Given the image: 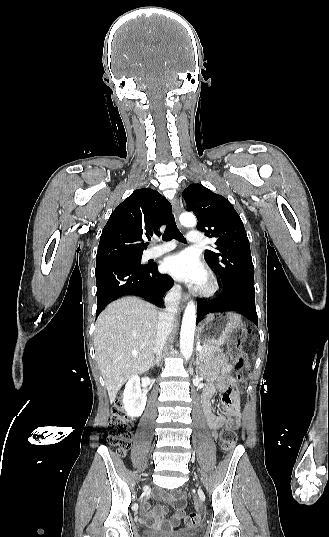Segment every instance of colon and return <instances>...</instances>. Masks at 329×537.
I'll return each instance as SVG.
<instances>
[{
  "mask_svg": "<svg viewBox=\"0 0 329 537\" xmlns=\"http://www.w3.org/2000/svg\"><path fill=\"white\" fill-rule=\"evenodd\" d=\"M229 355L236 361V372L239 379V387L243 388L245 385V379L249 374L250 357L248 354L243 353L240 347V341L236 340L229 346ZM229 401V397L225 398ZM237 422H228L219 431V439L222 447L226 451L234 449L237 435L236 427ZM132 420L124 414L123 402L120 397L112 408V416L109 423V429L107 434L108 442L116 446L120 451H126L129 449L132 442ZM201 521V516L198 512H191L185 519L187 527H195Z\"/></svg>",
  "mask_w": 329,
  "mask_h": 537,
  "instance_id": "5ec220e1",
  "label": "colon"
}]
</instances>
